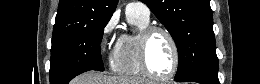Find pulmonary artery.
<instances>
[{"label": "pulmonary artery", "mask_w": 260, "mask_h": 84, "mask_svg": "<svg viewBox=\"0 0 260 84\" xmlns=\"http://www.w3.org/2000/svg\"><path fill=\"white\" fill-rule=\"evenodd\" d=\"M126 13L127 14H136L144 20H149V18H150V10L142 2H131V3L127 4Z\"/></svg>", "instance_id": "pulmonary-artery-1"}]
</instances>
